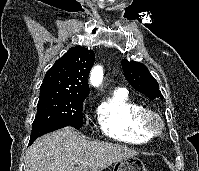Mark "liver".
Segmentation results:
<instances>
[{"mask_svg":"<svg viewBox=\"0 0 199 171\" xmlns=\"http://www.w3.org/2000/svg\"><path fill=\"white\" fill-rule=\"evenodd\" d=\"M137 154L125 146L87 140L68 126L32 144L27 152L26 171H102Z\"/></svg>","mask_w":199,"mask_h":171,"instance_id":"6515ba94","label":"liver"}]
</instances>
